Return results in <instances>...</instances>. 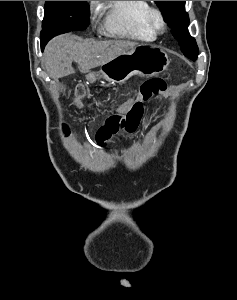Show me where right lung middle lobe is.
<instances>
[{
    "instance_id": "obj_1",
    "label": "right lung middle lobe",
    "mask_w": 237,
    "mask_h": 300,
    "mask_svg": "<svg viewBox=\"0 0 237 300\" xmlns=\"http://www.w3.org/2000/svg\"><path fill=\"white\" fill-rule=\"evenodd\" d=\"M40 34L42 49L56 35L84 30L89 25L87 1H46Z\"/></svg>"
}]
</instances>
